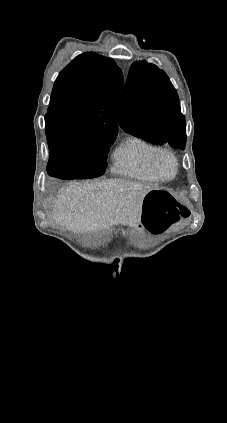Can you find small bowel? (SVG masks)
I'll use <instances>...</instances> for the list:
<instances>
[{"label":"small bowel","instance_id":"1","mask_svg":"<svg viewBox=\"0 0 227 423\" xmlns=\"http://www.w3.org/2000/svg\"><path fill=\"white\" fill-rule=\"evenodd\" d=\"M144 228H146L147 230H149L144 224H143Z\"/></svg>","mask_w":227,"mask_h":423}]
</instances>
